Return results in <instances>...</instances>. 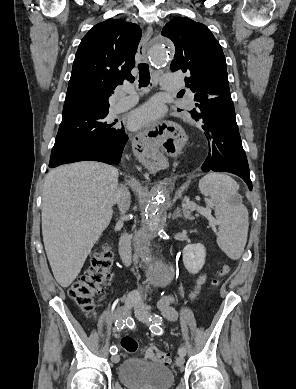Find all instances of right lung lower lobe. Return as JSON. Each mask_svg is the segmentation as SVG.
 <instances>
[{"instance_id": "1", "label": "right lung lower lobe", "mask_w": 296, "mask_h": 389, "mask_svg": "<svg viewBox=\"0 0 296 389\" xmlns=\"http://www.w3.org/2000/svg\"><path fill=\"white\" fill-rule=\"evenodd\" d=\"M127 140L128 136L125 134L124 129H122L121 134L116 138L100 140L94 143L84 144L75 149L52 153L49 167L86 160L118 164Z\"/></svg>"}]
</instances>
